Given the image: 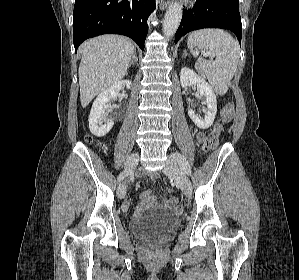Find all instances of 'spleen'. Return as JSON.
Returning <instances> with one entry per match:
<instances>
[{
    "instance_id": "1",
    "label": "spleen",
    "mask_w": 299,
    "mask_h": 280,
    "mask_svg": "<svg viewBox=\"0 0 299 280\" xmlns=\"http://www.w3.org/2000/svg\"><path fill=\"white\" fill-rule=\"evenodd\" d=\"M187 45L194 57L199 55L197 48L207 49L216 56L214 61L203 60L202 68L214 91L219 95L226 94L239 61V46L235 39L220 29H202L190 34ZM193 47L197 48L193 50Z\"/></svg>"
}]
</instances>
